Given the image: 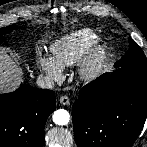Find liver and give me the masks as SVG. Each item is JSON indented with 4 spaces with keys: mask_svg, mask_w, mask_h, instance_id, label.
Instances as JSON below:
<instances>
[{
    "mask_svg": "<svg viewBox=\"0 0 147 147\" xmlns=\"http://www.w3.org/2000/svg\"><path fill=\"white\" fill-rule=\"evenodd\" d=\"M22 75L21 68L0 49V93L15 89L23 81Z\"/></svg>",
    "mask_w": 147,
    "mask_h": 147,
    "instance_id": "6515ba94",
    "label": "liver"
}]
</instances>
